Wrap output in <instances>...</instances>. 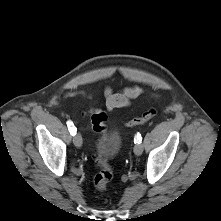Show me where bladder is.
Returning a JSON list of instances; mask_svg holds the SVG:
<instances>
[{
    "instance_id": "31cf9c89",
    "label": "bladder",
    "mask_w": 221,
    "mask_h": 221,
    "mask_svg": "<svg viewBox=\"0 0 221 221\" xmlns=\"http://www.w3.org/2000/svg\"><path fill=\"white\" fill-rule=\"evenodd\" d=\"M120 146L121 135L116 131L111 132L99 141L100 153L105 158L114 157L118 153Z\"/></svg>"
}]
</instances>
